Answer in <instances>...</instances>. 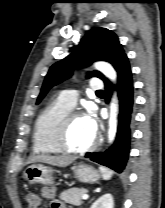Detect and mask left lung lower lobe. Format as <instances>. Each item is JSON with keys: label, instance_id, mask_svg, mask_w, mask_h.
Returning a JSON list of instances; mask_svg holds the SVG:
<instances>
[{"label": "left lung lower lobe", "instance_id": "0a47b994", "mask_svg": "<svg viewBox=\"0 0 165 208\" xmlns=\"http://www.w3.org/2000/svg\"><path fill=\"white\" fill-rule=\"evenodd\" d=\"M116 71L118 73V84L116 87L109 80H104L107 102L109 101L111 92L115 89L118 91L119 115L115 142L105 152L87 153L85 157L107 166L118 173H123L129 158L134 124L133 81L127 56L118 64Z\"/></svg>", "mask_w": 165, "mask_h": 208}]
</instances>
